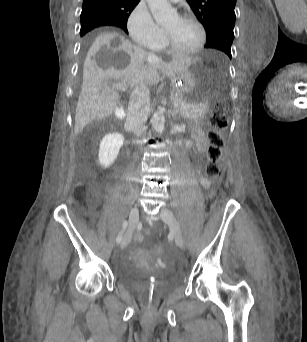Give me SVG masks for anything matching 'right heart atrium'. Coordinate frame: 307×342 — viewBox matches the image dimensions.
<instances>
[{"instance_id": "1", "label": "right heart atrium", "mask_w": 307, "mask_h": 342, "mask_svg": "<svg viewBox=\"0 0 307 342\" xmlns=\"http://www.w3.org/2000/svg\"><path fill=\"white\" fill-rule=\"evenodd\" d=\"M127 29L131 40L141 47L159 46L163 41L161 31L143 5H138L129 15Z\"/></svg>"}]
</instances>
